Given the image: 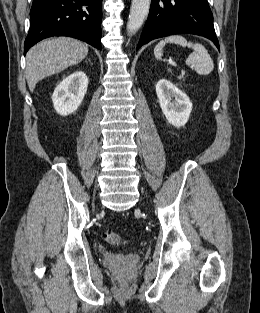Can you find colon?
<instances>
[{
  "label": "colon",
  "instance_id": "obj_1",
  "mask_svg": "<svg viewBox=\"0 0 260 313\" xmlns=\"http://www.w3.org/2000/svg\"><path fill=\"white\" fill-rule=\"evenodd\" d=\"M104 239L111 245H120L122 243L120 236L111 230H106L104 232Z\"/></svg>",
  "mask_w": 260,
  "mask_h": 313
}]
</instances>
